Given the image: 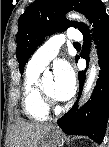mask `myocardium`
<instances>
[{
  "label": "myocardium",
  "mask_w": 109,
  "mask_h": 147,
  "mask_svg": "<svg viewBox=\"0 0 109 147\" xmlns=\"http://www.w3.org/2000/svg\"><path fill=\"white\" fill-rule=\"evenodd\" d=\"M39 93L42 97V100L45 104V106L48 109H55L56 108V100L50 96L48 93H46L42 87H39Z\"/></svg>",
  "instance_id": "f54148a6"
}]
</instances>
